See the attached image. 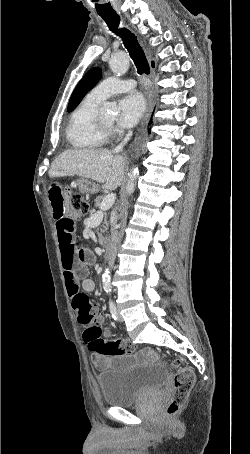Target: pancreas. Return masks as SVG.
<instances>
[{
    "label": "pancreas",
    "mask_w": 250,
    "mask_h": 454,
    "mask_svg": "<svg viewBox=\"0 0 250 454\" xmlns=\"http://www.w3.org/2000/svg\"><path fill=\"white\" fill-rule=\"evenodd\" d=\"M103 198H104L103 196H98V197H96V199H95V206H96V207H100V204H101V201L103 200ZM103 224H104V229L101 230V232H102V233H105L106 230H107V226H108L107 215H106V214H105V218H104Z\"/></svg>",
    "instance_id": "obj_1"
}]
</instances>
